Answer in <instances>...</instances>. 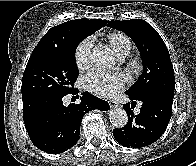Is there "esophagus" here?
<instances>
[{"instance_id":"esophagus-1","label":"esophagus","mask_w":196,"mask_h":166,"mask_svg":"<svg viewBox=\"0 0 196 166\" xmlns=\"http://www.w3.org/2000/svg\"><path fill=\"white\" fill-rule=\"evenodd\" d=\"M109 105L111 108L119 107V104L115 100H109Z\"/></svg>"}]
</instances>
